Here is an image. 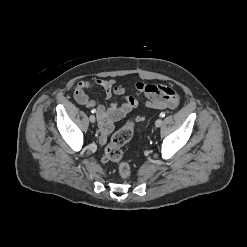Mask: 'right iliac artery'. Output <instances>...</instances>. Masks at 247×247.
Returning <instances> with one entry per match:
<instances>
[{"mask_svg": "<svg viewBox=\"0 0 247 247\" xmlns=\"http://www.w3.org/2000/svg\"><path fill=\"white\" fill-rule=\"evenodd\" d=\"M91 112H92V113H94V112H95V110H92Z\"/></svg>", "mask_w": 247, "mask_h": 247, "instance_id": "1", "label": "right iliac artery"}]
</instances>
